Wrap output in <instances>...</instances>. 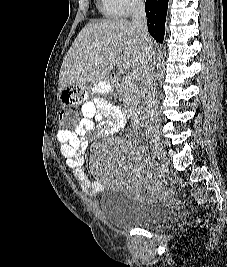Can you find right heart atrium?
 Segmentation results:
<instances>
[{
	"label": "right heart atrium",
	"instance_id": "obj_1",
	"mask_svg": "<svg viewBox=\"0 0 227 267\" xmlns=\"http://www.w3.org/2000/svg\"><path fill=\"white\" fill-rule=\"evenodd\" d=\"M115 5L121 16L131 15L143 7V0H110Z\"/></svg>",
	"mask_w": 227,
	"mask_h": 267
}]
</instances>
